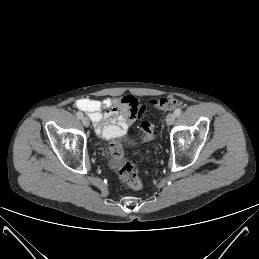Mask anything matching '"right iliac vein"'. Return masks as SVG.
<instances>
[{"instance_id": "right-iliac-vein-1", "label": "right iliac vein", "mask_w": 259, "mask_h": 259, "mask_svg": "<svg viewBox=\"0 0 259 259\" xmlns=\"http://www.w3.org/2000/svg\"><path fill=\"white\" fill-rule=\"evenodd\" d=\"M82 123H83V125L85 126V127H89V125H90V121H89V119H88V117H82Z\"/></svg>"}]
</instances>
